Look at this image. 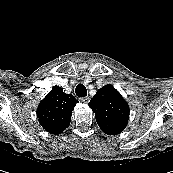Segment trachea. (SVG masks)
Instances as JSON below:
<instances>
[{
    "label": "trachea",
    "mask_w": 173,
    "mask_h": 173,
    "mask_svg": "<svg viewBox=\"0 0 173 173\" xmlns=\"http://www.w3.org/2000/svg\"><path fill=\"white\" fill-rule=\"evenodd\" d=\"M76 95L78 97H85L87 96V89L83 84H78L75 89Z\"/></svg>",
    "instance_id": "1"
}]
</instances>
